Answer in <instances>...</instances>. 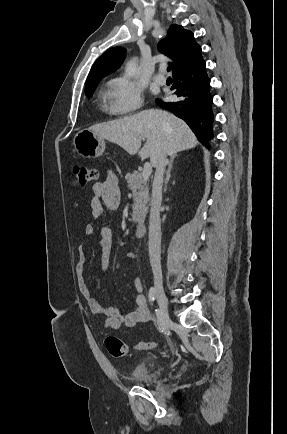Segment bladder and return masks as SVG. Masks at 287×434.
<instances>
[{
    "label": "bladder",
    "mask_w": 287,
    "mask_h": 434,
    "mask_svg": "<svg viewBox=\"0 0 287 434\" xmlns=\"http://www.w3.org/2000/svg\"><path fill=\"white\" fill-rule=\"evenodd\" d=\"M165 373V366L158 360L148 359L137 365L128 378L138 385H152Z\"/></svg>",
    "instance_id": "1"
}]
</instances>
